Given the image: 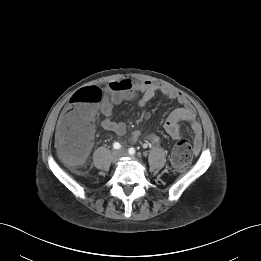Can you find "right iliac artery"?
Instances as JSON below:
<instances>
[{
    "label": "right iliac artery",
    "instance_id": "obj_1",
    "mask_svg": "<svg viewBox=\"0 0 261 261\" xmlns=\"http://www.w3.org/2000/svg\"><path fill=\"white\" fill-rule=\"evenodd\" d=\"M113 147H114V149H120V148H121V145H120V143L115 142V143L113 144Z\"/></svg>",
    "mask_w": 261,
    "mask_h": 261
}]
</instances>
